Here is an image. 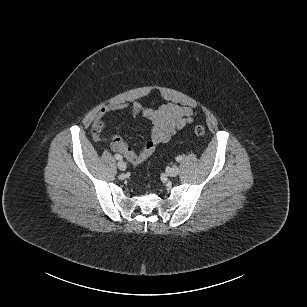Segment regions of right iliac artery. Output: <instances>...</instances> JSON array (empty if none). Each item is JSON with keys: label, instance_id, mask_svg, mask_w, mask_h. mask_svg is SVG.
<instances>
[{"label": "right iliac artery", "instance_id": "1", "mask_svg": "<svg viewBox=\"0 0 307 307\" xmlns=\"http://www.w3.org/2000/svg\"><path fill=\"white\" fill-rule=\"evenodd\" d=\"M114 157L117 160H122V156L120 154H115Z\"/></svg>", "mask_w": 307, "mask_h": 307}]
</instances>
